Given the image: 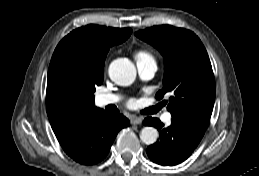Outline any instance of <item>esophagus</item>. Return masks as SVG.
<instances>
[{
    "label": "esophagus",
    "instance_id": "1",
    "mask_svg": "<svg viewBox=\"0 0 259 176\" xmlns=\"http://www.w3.org/2000/svg\"><path fill=\"white\" fill-rule=\"evenodd\" d=\"M130 122L133 125H139V124L142 123V118L137 117V116H133V117H131Z\"/></svg>",
    "mask_w": 259,
    "mask_h": 176
}]
</instances>
